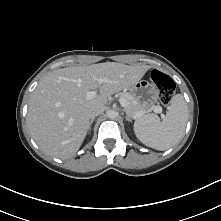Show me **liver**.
<instances>
[{
	"label": "liver",
	"mask_w": 221,
	"mask_h": 221,
	"mask_svg": "<svg viewBox=\"0 0 221 221\" xmlns=\"http://www.w3.org/2000/svg\"><path fill=\"white\" fill-rule=\"evenodd\" d=\"M149 69L106 62L49 73L29 101L27 125L33 139L47 155L73 157L89 130L91 112L104 108L110 95L133 86ZM98 88L100 94L87 99L86 93Z\"/></svg>",
	"instance_id": "1"
}]
</instances>
